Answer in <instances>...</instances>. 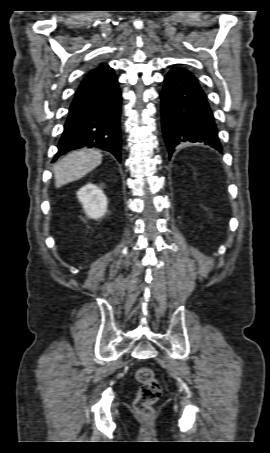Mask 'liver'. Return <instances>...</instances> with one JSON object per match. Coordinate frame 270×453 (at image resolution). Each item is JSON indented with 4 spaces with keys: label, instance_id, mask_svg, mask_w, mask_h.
I'll return each mask as SVG.
<instances>
[{
    "label": "liver",
    "instance_id": "liver-1",
    "mask_svg": "<svg viewBox=\"0 0 270 453\" xmlns=\"http://www.w3.org/2000/svg\"><path fill=\"white\" fill-rule=\"evenodd\" d=\"M102 154L96 150H77L66 155L53 168L55 186L78 180L101 164Z\"/></svg>",
    "mask_w": 270,
    "mask_h": 453
}]
</instances>
